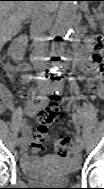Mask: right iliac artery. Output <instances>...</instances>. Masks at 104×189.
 I'll return each instance as SVG.
<instances>
[{
    "mask_svg": "<svg viewBox=\"0 0 104 189\" xmlns=\"http://www.w3.org/2000/svg\"><path fill=\"white\" fill-rule=\"evenodd\" d=\"M54 92H56V90H52V95L54 94ZM41 98V97H40ZM42 100L37 103L33 109L31 110L30 114L34 115L36 114L37 111H40L41 109H43L45 107V105L47 104L48 98H41ZM16 137H20L21 140L25 139V136H20V134H16Z\"/></svg>",
    "mask_w": 104,
    "mask_h": 189,
    "instance_id": "obj_1",
    "label": "right iliac artery"
}]
</instances>
